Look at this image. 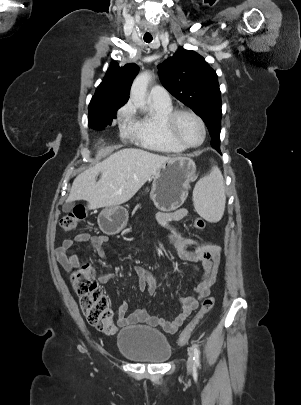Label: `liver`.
<instances>
[{"label":"liver","instance_id":"1","mask_svg":"<svg viewBox=\"0 0 301 405\" xmlns=\"http://www.w3.org/2000/svg\"><path fill=\"white\" fill-rule=\"evenodd\" d=\"M169 157L136 148L120 150L79 174L68 202L86 200L89 209L118 208L153 177ZM101 178L96 182L98 174Z\"/></svg>","mask_w":301,"mask_h":405}]
</instances>
